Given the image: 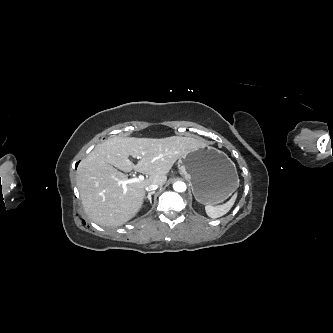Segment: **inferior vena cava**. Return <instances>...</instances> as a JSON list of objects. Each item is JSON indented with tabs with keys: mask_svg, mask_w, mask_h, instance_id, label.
<instances>
[{
	"mask_svg": "<svg viewBox=\"0 0 333 333\" xmlns=\"http://www.w3.org/2000/svg\"><path fill=\"white\" fill-rule=\"evenodd\" d=\"M158 187H159L158 184L152 183V184L148 185L147 187H145V190L148 192L155 191Z\"/></svg>",
	"mask_w": 333,
	"mask_h": 333,
	"instance_id": "inferior-vena-cava-1",
	"label": "inferior vena cava"
}]
</instances>
